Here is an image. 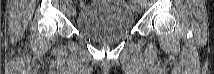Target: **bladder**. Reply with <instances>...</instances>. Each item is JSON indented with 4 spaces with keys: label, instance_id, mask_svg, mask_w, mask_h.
<instances>
[{
    "label": "bladder",
    "instance_id": "bladder-1",
    "mask_svg": "<svg viewBox=\"0 0 214 74\" xmlns=\"http://www.w3.org/2000/svg\"><path fill=\"white\" fill-rule=\"evenodd\" d=\"M133 27L132 10L115 0L99 1L85 7L75 24L78 33L93 41L122 39Z\"/></svg>",
    "mask_w": 214,
    "mask_h": 74
}]
</instances>
